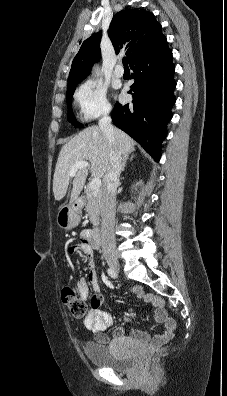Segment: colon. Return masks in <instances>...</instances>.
Wrapping results in <instances>:
<instances>
[{"label":"colon","instance_id":"obj_1","mask_svg":"<svg viewBox=\"0 0 227 396\" xmlns=\"http://www.w3.org/2000/svg\"><path fill=\"white\" fill-rule=\"evenodd\" d=\"M61 297L63 303L67 305L70 312L75 317L82 318L86 316V303L82 298H80L75 288L71 286H64L61 291Z\"/></svg>","mask_w":227,"mask_h":396}]
</instances>
